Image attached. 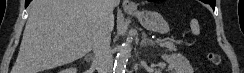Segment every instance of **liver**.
<instances>
[{
	"mask_svg": "<svg viewBox=\"0 0 244 73\" xmlns=\"http://www.w3.org/2000/svg\"><path fill=\"white\" fill-rule=\"evenodd\" d=\"M102 0H33L11 73H40L84 57L103 18ZM110 30L113 13L108 15Z\"/></svg>",
	"mask_w": 244,
	"mask_h": 73,
	"instance_id": "obj_1",
	"label": "liver"
}]
</instances>
